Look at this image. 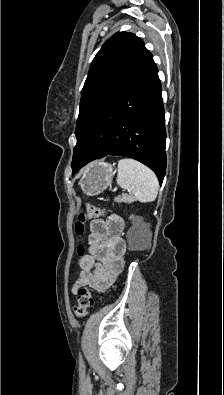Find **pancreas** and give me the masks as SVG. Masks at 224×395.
Segmentation results:
<instances>
[{
  "label": "pancreas",
  "instance_id": "obj_1",
  "mask_svg": "<svg viewBox=\"0 0 224 395\" xmlns=\"http://www.w3.org/2000/svg\"><path fill=\"white\" fill-rule=\"evenodd\" d=\"M115 201L116 202H125V203H127V202H131V198L129 196H127V195H122V196L116 197Z\"/></svg>",
  "mask_w": 224,
  "mask_h": 395
}]
</instances>
